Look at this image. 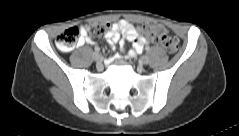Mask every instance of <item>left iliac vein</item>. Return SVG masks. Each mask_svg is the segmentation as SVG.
I'll return each mask as SVG.
<instances>
[{"label":"left iliac vein","instance_id":"obj_1","mask_svg":"<svg viewBox=\"0 0 239 136\" xmlns=\"http://www.w3.org/2000/svg\"><path fill=\"white\" fill-rule=\"evenodd\" d=\"M140 63L141 64H143V65H146V64H148L149 63V58H148V56H142L141 58H140Z\"/></svg>","mask_w":239,"mask_h":136}]
</instances>
